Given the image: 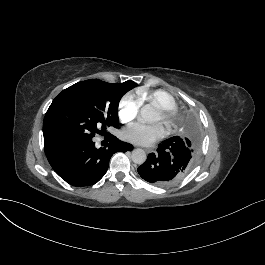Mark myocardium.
<instances>
[{
    "label": "myocardium",
    "instance_id": "obj_1",
    "mask_svg": "<svg viewBox=\"0 0 265 265\" xmlns=\"http://www.w3.org/2000/svg\"><path fill=\"white\" fill-rule=\"evenodd\" d=\"M158 112L161 115V120H163L168 127L173 125L178 116V112L175 107L159 108Z\"/></svg>",
    "mask_w": 265,
    "mask_h": 265
}]
</instances>
